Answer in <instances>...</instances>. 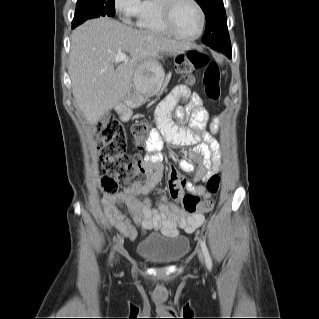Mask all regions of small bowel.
I'll use <instances>...</instances> for the list:
<instances>
[{
    "mask_svg": "<svg viewBox=\"0 0 319 319\" xmlns=\"http://www.w3.org/2000/svg\"><path fill=\"white\" fill-rule=\"evenodd\" d=\"M181 98L186 99L188 104L175 108ZM174 109L179 120H189L188 127L179 128L172 123L170 114ZM208 119L209 113L203 107L202 97L199 93L192 92L187 85H178L160 102L156 110L157 129L150 132L146 144L145 162L149 174L144 181L136 182L119 193L106 196L102 201L107 220L126 238L134 240L137 237V230L130 220L114 206L115 202L125 206L135 223L143 231L158 230L166 236H172L177 234L179 228L192 232L204 224V212L185 211L179 204L168 200L162 189L158 188L164 166L157 151L162 148L163 141L174 145L192 146L190 159L200 164V169L194 176L196 185L191 189L200 195L209 197L206 182L219 172L221 153L219 143L213 136L219 129V120L213 119L209 132L206 130ZM154 143H158L160 149H155ZM210 167L212 168L209 169ZM176 169L185 173L194 172L192 162L187 159L180 160L177 168L170 166L172 172ZM154 190L157 191L159 200L156 206L152 207L147 195Z\"/></svg>",
    "mask_w": 319,
    "mask_h": 319,
    "instance_id": "small-bowel-1",
    "label": "small bowel"
}]
</instances>
